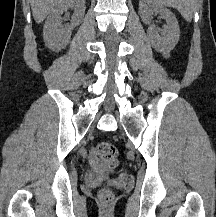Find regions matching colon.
Wrapping results in <instances>:
<instances>
[{"label":"colon","instance_id":"1","mask_svg":"<svg viewBox=\"0 0 216 217\" xmlns=\"http://www.w3.org/2000/svg\"><path fill=\"white\" fill-rule=\"evenodd\" d=\"M95 155L99 161L108 169H113L118 165L119 153L117 147L109 141H101L95 146ZM102 204L108 205L113 200V193L108 188H103L98 194Z\"/></svg>","mask_w":216,"mask_h":217}]
</instances>
